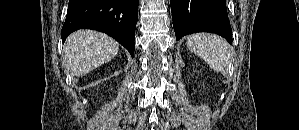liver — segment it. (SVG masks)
Listing matches in <instances>:
<instances>
[{"mask_svg":"<svg viewBox=\"0 0 299 130\" xmlns=\"http://www.w3.org/2000/svg\"><path fill=\"white\" fill-rule=\"evenodd\" d=\"M63 50L65 71L79 77L112 60L119 44L101 32L79 30L67 38Z\"/></svg>","mask_w":299,"mask_h":130,"instance_id":"obj_1","label":"liver"}]
</instances>
